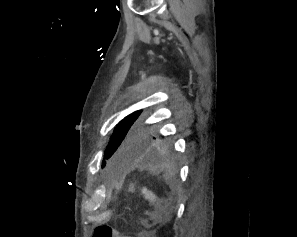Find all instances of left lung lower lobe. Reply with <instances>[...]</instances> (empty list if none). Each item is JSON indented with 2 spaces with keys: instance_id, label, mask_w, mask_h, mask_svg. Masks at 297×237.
I'll return each mask as SVG.
<instances>
[{
  "instance_id": "0a47b994",
  "label": "left lung lower lobe",
  "mask_w": 297,
  "mask_h": 237,
  "mask_svg": "<svg viewBox=\"0 0 297 237\" xmlns=\"http://www.w3.org/2000/svg\"><path fill=\"white\" fill-rule=\"evenodd\" d=\"M150 152H151L152 154L157 153L156 148H155V149L153 148Z\"/></svg>"
}]
</instances>
